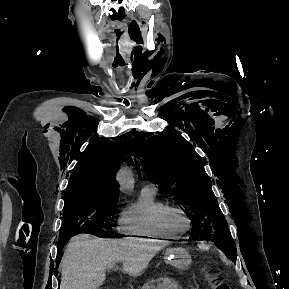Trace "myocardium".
I'll return each instance as SVG.
<instances>
[{"label": "myocardium", "mask_w": 289, "mask_h": 289, "mask_svg": "<svg viewBox=\"0 0 289 289\" xmlns=\"http://www.w3.org/2000/svg\"><path fill=\"white\" fill-rule=\"evenodd\" d=\"M175 212L183 216L187 222V227L184 230L181 231H175L168 225L167 222V216L168 214ZM157 220L159 224L162 226L164 230H166L168 233L172 234L173 236H180L186 234L190 228H191V219L188 215V213L180 206L176 204H165L163 205L158 214H157Z\"/></svg>", "instance_id": "1"}]
</instances>
